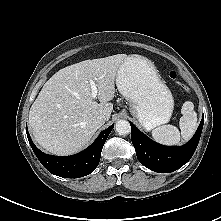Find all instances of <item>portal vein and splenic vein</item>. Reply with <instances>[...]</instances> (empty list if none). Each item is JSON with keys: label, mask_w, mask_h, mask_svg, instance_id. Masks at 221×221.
<instances>
[{"label": "portal vein and splenic vein", "mask_w": 221, "mask_h": 221, "mask_svg": "<svg viewBox=\"0 0 221 221\" xmlns=\"http://www.w3.org/2000/svg\"><path fill=\"white\" fill-rule=\"evenodd\" d=\"M90 87H91V97L95 99L98 94V88L94 80H90Z\"/></svg>", "instance_id": "portal-vein-and-splenic-vein-1"}]
</instances>
